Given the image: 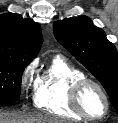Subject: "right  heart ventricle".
I'll use <instances>...</instances> for the list:
<instances>
[{
  "mask_svg": "<svg viewBox=\"0 0 118 123\" xmlns=\"http://www.w3.org/2000/svg\"><path fill=\"white\" fill-rule=\"evenodd\" d=\"M82 78H85V75L81 70L62 57H54L35 82L33 95L35 107L50 115L83 120L84 118L73 110L70 103L71 86Z\"/></svg>",
  "mask_w": 118,
  "mask_h": 123,
  "instance_id": "1",
  "label": "right heart ventricle"
}]
</instances>
